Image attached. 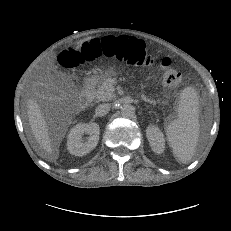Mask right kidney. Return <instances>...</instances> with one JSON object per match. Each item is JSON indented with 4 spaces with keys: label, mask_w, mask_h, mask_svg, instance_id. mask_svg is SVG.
Returning <instances> with one entry per match:
<instances>
[{
    "label": "right kidney",
    "mask_w": 231,
    "mask_h": 231,
    "mask_svg": "<svg viewBox=\"0 0 231 231\" xmlns=\"http://www.w3.org/2000/svg\"><path fill=\"white\" fill-rule=\"evenodd\" d=\"M84 134L89 135L86 141ZM99 135L100 127L97 123H79L70 130L67 149L75 156H84L97 146Z\"/></svg>",
    "instance_id": "right-kidney-1"
}]
</instances>
